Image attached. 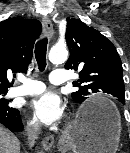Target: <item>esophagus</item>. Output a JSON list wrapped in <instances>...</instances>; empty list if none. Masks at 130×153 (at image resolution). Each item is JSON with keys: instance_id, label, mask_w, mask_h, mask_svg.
I'll return each instance as SVG.
<instances>
[{"instance_id": "obj_1", "label": "esophagus", "mask_w": 130, "mask_h": 153, "mask_svg": "<svg viewBox=\"0 0 130 153\" xmlns=\"http://www.w3.org/2000/svg\"><path fill=\"white\" fill-rule=\"evenodd\" d=\"M42 26L44 33L51 39L54 35V29H53V24L48 17H43ZM53 144H54L53 135L46 136L42 141V146L46 151L50 150Z\"/></svg>"}]
</instances>
